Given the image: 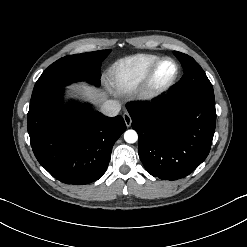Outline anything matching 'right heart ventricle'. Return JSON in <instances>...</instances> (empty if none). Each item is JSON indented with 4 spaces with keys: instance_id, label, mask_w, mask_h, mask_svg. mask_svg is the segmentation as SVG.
Segmentation results:
<instances>
[{
    "instance_id": "right-heart-ventricle-1",
    "label": "right heart ventricle",
    "mask_w": 247,
    "mask_h": 247,
    "mask_svg": "<svg viewBox=\"0 0 247 247\" xmlns=\"http://www.w3.org/2000/svg\"><path fill=\"white\" fill-rule=\"evenodd\" d=\"M159 58L154 54H137L116 61L109 69L111 85L119 93L132 92Z\"/></svg>"
}]
</instances>
